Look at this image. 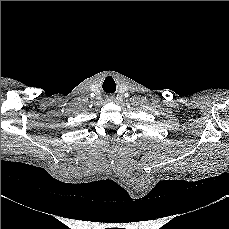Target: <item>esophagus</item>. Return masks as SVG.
I'll list each match as a JSON object with an SVG mask.
<instances>
[{
	"label": "esophagus",
	"mask_w": 229,
	"mask_h": 229,
	"mask_svg": "<svg viewBox=\"0 0 229 229\" xmlns=\"http://www.w3.org/2000/svg\"><path fill=\"white\" fill-rule=\"evenodd\" d=\"M108 100H112V97L109 96V97H108Z\"/></svg>",
	"instance_id": "esophagus-1"
}]
</instances>
